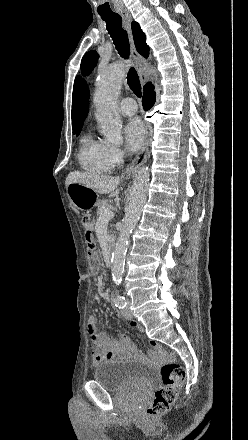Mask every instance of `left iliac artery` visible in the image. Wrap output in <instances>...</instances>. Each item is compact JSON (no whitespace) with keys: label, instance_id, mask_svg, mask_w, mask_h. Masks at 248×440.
<instances>
[{"label":"left iliac artery","instance_id":"left-iliac-artery-1","mask_svg":"<svg viewBox=\"0 0 248 440\" xmlns=\"http://www.w3.org/2000/svg\"><path fill=\"white\" fill-rule=\"evenodd\" d=\"M114 303H115V306L118 307L119 309H123L127 305L125 298L119 294V291L115 292Z\"/></svg>","mask_w":248,"mask_h":440}]
</instances>
